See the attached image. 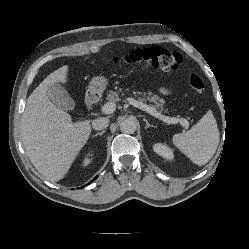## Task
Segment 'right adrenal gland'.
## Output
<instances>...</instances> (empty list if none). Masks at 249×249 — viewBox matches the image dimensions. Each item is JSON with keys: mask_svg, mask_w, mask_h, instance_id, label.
Listing matches in <instances>:
<instances>
[{"mask_svg": "<svg viewBox=\"0 0 249 249\" xmlns=\"http://www.w3.org/2000/svg\"><path fill=\"white\" fill-rule=\"evenodd\" d=\"M105 133V130H102L101 132L96 133L95 135H93L92 137H96V136H102Z\"/></svg>", "mask_w": 249, "mask_h": 249, "instance_id": "1", "label": "right adrenal gland"}]
</instances>
